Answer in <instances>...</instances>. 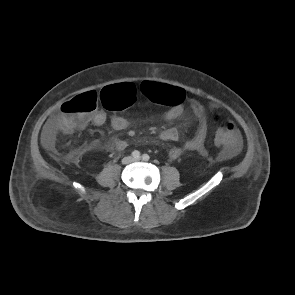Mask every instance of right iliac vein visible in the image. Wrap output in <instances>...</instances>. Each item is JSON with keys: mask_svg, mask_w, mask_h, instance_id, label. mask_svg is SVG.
I'll list each match as a JSON object with an SVG mask.
<instances>
[{"mask_svg": "<svg viewBox=\"0 0 295 295\" xmlns=\"http://www.w3.org/2000/svg\"><path fill=\"white\" fill-rule=\"evenodd\" d=\"M131 161H132L131 157H127V158H125V162H126V163H129V162H131Z\"/></svg>", "mask_w": 295, "mask_h": 295, "instance_id": "63e3f726", "label": "right iliac vein"}]
</instances>
